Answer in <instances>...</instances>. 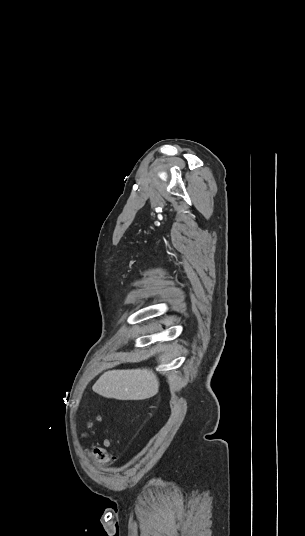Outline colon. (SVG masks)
Returning <instances> with one entry per match:
<instances>
[{"label": "colon", "mask_w": 305, "mask_h": 536, "mask_svg": "<svg viewBox=\"0 0 305 536\" xmlns=\"http://www.w3.org/2000/svg\"><path fill=\"white\" fill-rule=\"evenodd\" d=\"M91 425V423H88L87 428H91ZM84 437H86V434H84ZM85 450H89V447H85ZM93 453L96 459L101 463H104L109 460L108 452L102 447H94Z\"/></svg>", "instance_id": "obj_1"}]
</instances>
